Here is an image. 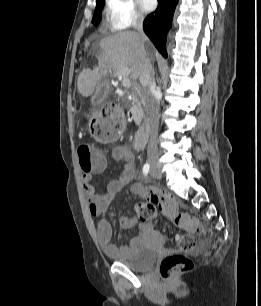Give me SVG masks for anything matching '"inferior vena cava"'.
<instances>
[{
  "mask_svg": "<svg viewBox=\"0 0 261 306\" xmlns=\"http://www.w3.org/2000/svg\"><path fill=\"white\" fill-rule=\"evenodd\" d=\"M133 27L141 38H144L143 19L137 17L133 22ZM140 57L142 60V70L140 74V82L144 87V96L148 109V115L151 122V131L155 132L158 128V110L159 99L156 91V84L154 80V69L150 59L147 56L144 46L140 48ZM147 151L149 154L155 153V146L150 142Z\"/></svg>",
  "mask_w": 261,
  "mask_h": 306,
  "instance_id": "inferior-vena-cava-1",
  "label": "inferior vena cava"
}]
</instances>
